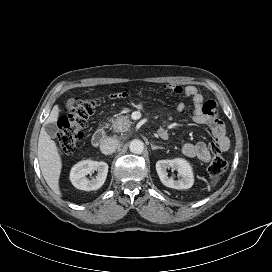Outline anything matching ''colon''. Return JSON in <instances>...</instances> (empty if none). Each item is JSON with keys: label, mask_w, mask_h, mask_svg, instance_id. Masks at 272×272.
Instances as JSON below:
<instances>
[{"label": "colon", "mask_w": 272, "mask_h": 272, "mask_svg": "<svg viewBox=\"0 0 272 272\" xmlns=\"http://www.w3.org/2000/svg\"><path fill=\"white\" fill-rule=\"evenodd\" d=\"M99 102L97 99L75 98L70 113L58 121L57 147L60 153L68 155L76 150L83 136V129L89 117L94 113ZM212 161L209 172L212 176H220L227 170V161L216 144L211 145Z\"/></svg>", "instance_id": "1"}]
</instances>
